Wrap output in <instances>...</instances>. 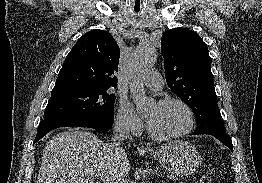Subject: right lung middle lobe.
<instances>
[{
  "label": "right lung middle lobe",
  "mask_w": 262,
  "mask_h": 183,
  "mask_svg": "<svg viewBox=\"0 0 262 183\" xmlns=\"http://www.w3.org/2000/svg\"><path fill=\"white\" fill-rule=\"evenodd\" d=\"M108 88H80L52 92L43 119L51 117L114 118L115 95Z\"/></svg>",
  "instance_id": "1"
}]
</instances>
